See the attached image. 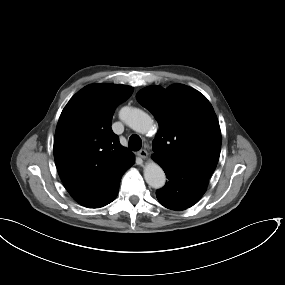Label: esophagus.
I'll list each match as a JSON object with an SVG mask.
<instances>
[{"instance_id":"obj_1","label":"esophagus","mask_w":285,"mask_h":285,"mask_svg":"<svg viewBox=\"0 0 285 285\" xmlns=\"http://www.w3.org/2000/svg\"><path fill=\"white\" fill-rule=\"evenodd\" d=\"M137 155L140 157V158H142V159H147V157H148V153H147V151L145 150V149H141V150H139L138 152H137Z\"/></svg>"}]
</instances>
